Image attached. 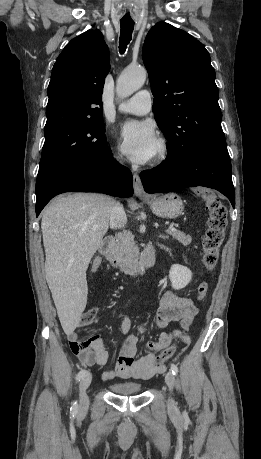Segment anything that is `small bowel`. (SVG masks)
Listing matches in <instances>:
<instances>
[{"label":"small bowel","instance_id":"c3829d8e","mask_svg":"<svg viewBox=\"0 0 261 459\" xmlns=\"http://www.w3.org/2000/svg\"><path fill=\"white\" fill-rule=\"evenodd\" d=\"M101 264L100 257L92 262V270L96 271ZM198 313V308L193 300L174 292L165 291L160 299V307L150 325L133 326L127 316H123L121 329L125 335L120 354L115 366L102 373L105 381L116 378L145 379L156 371V353L167 347L174 339L181 338L188 345L190 337L179 329L163 332L171 322H179L186 328ZM153 330L161 331L157 337L146 345V353L137 357L139 337ZM67 337L72 351L80 362L87 366H103L108 361V352L103 338L96 334L88 339L80 340L75 329L67 332Z\"/></svg>","mask_w":261,"mask_h":459}]
</instances>
